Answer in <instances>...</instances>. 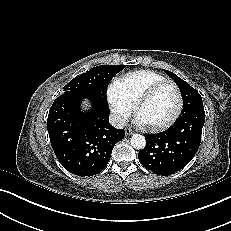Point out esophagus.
Segmentation results:
<instances>
[{
  "instance_id": "obj_1",
  "label": "esophagus",
  "mask_w": 231,
  "mask_h": 231,
  "mask_svg": "<svg viewBox=\"0 0 231 231\" xmlns=\"http://www.w3.org/2000/svg\"><path fill=\"white\" fill-rule=\"evenodd\" d=\"M133 133V130L131 128H126L125 129V134L126 135H131Z\"/></svg>"
}]
</instances>
